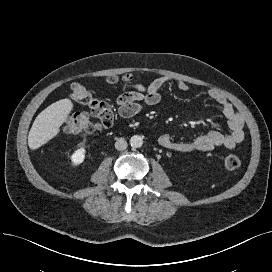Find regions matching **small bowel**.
Masks as SVG:
<instances>
[{
	"instance_id": "small-bowel-1",
	"label": "small bowel",
	"mask_w": 272,
	"mask_h": 272,
	"mask_svg": "<svg viewBox=\"0 0 272 272\" xmlns=\"http://www.w3.org/2000/svg\"><path fill=\"white\" fill-rule=\"evenodd\" d=\"M166 84H173L186 92L191 90L186 82L167 76L155 79L148 86L135 85L133 91L124 92L117 97L116 107L119 116L125 119L132 118L144 108L158 104L161 100L160 90ZM207 95L221 108L230 132L210 131L190 141H177L170 135L163 134L159 137V144L163 148L174 152L209 151L217 147L234 149L244 140L245 119L242 113L219 91L210 89Z\"/></svg>"
}]
</instances>
